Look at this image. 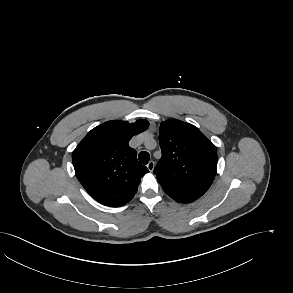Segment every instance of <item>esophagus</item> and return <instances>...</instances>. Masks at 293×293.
Returning a JSON list of instances; mask_svg holds the SVG:
<instances>
[{
	"instance_id": "obj_1",
	"label": "esophagus",
	"mask_w": 293,
	"mask_h": 293,
	"mask_svg": "<svg viewBox=\"0 0 293 293\" xmlns=\"http://www.w3.org/2000/svg\"><path fill=\"white\" fill-rule=\"evenodd\" d=\"M154 167H155V163L154 161H150L148 164H147V168L150 172H152L154 170Z\"/></svg>"
}]
</instances>
